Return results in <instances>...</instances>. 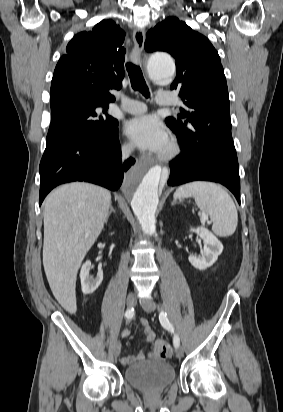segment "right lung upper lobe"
I'll return each instance as SVG.
<instances>
[{
  "mask_svg": "<svg viewBox=\"0 0 283 412\" xmlns=\"http://www.w3.org/2000/svg\"><path fill=\"white\" fill-rule=\"evenodd\" d=\"M125 33L112 20H103L89 32L74 36L54 71L51 84V115H60L78 103L109 107L124 78L122 46Z\"/></svg>",
  "mask_w": 283,
  "mask_h": 412,
  "instance_id": "cb5924a9",
  "label": "right lung upper lobe"
}]
</instances>
